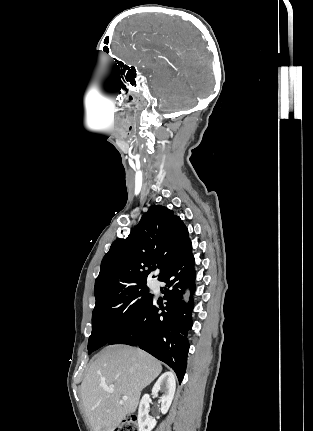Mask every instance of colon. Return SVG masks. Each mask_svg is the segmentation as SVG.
<instances>
[{
  "label": "colon",
  "mask_w": 313,
  "mask_h": 431,
  "mask_svg": "<svg viewBox=\"0 0 313 431\" xmlns=\"http://www.w3.org/2000/svg\"><path fill=\"white\" fill-rule=\"evenodd\" d=\"M118 431H139L135 416H127L122 421Z\"/></svg>",
  "instance_id": "obj_1"
}]
</instances>
